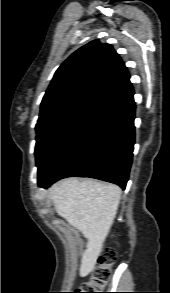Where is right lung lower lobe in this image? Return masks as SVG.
Wrapping results in <instances>:
<instances>
[{
  "mask_svg": "<svg viewBox=\"0 0 170 293\" xmlns=\"http://www.w3.org/2000/svg\"><path fill=\"white\" fill-rule=\"evenodd\" d=\"M133 95L114 104L88 134L58 164L40 187L70 177H91L115 183L123 189L128 181L135 142Z\"/></svg>",
  "mask_w": 170,
  "mask_h": 293,
  "instance_id": "1",
  "label": "right lung lower lobe"
}]
</instances>
